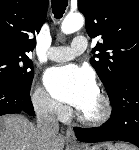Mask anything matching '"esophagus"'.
I'll use <instances>...</instances> for the list:
<instances>
[{"instance_id":"obj_1","label":"esophagus","mask_w":139,"mask_h":150,"mask_svg":"<svg viewBox=\"0 0 139 150\" xmlns=\"http://www.w3.org/2000/svg\"><path fill=\"white\" fill-rule=\"evenodd\" d=\"M66 140L71 144L77 143L76 136L72 127H68V129L66 130Z\"/></svg>"}]
</instances>
